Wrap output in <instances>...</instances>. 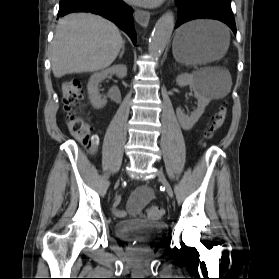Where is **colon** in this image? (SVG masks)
<instances>
[{"label": "colon", "instance_id": "1", "mask_svg": "<svg viewBox=\"0 0 279 279\" xmlns=\"http://www.w3.org/2000/svg\"><path fill=\"white\" fill-rule=\"evenodd\" d=\"M64 109L68 113V128L77 137L82 145L89 151L94 152L98 145V137L90 132L88 123L80 116L78 108L83 97L82 84L79 79L73 78L62 84ZM227 116V106L223 105L215 113L211 123L204 133V138L209 140L222 127ZM150 220H159L164 210L158 206H150L144 212Z\"/></svg>", "mask_w": 279, "mask_h": 279}]
</instances>
